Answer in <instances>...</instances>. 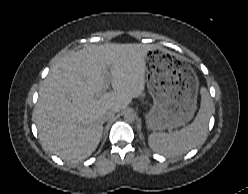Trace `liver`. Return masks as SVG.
I'll list each match as a JSON object with an SVG mask.
<instances>
[{
    "label": "liver",
    "instance_id": "1",
    "mask_svg": "<svg viewBox=\"0 0 248 194\" xmlns=\"http://www.w3.org/2000/svg\"><path fill=\"white\" fill-rule=\"evenodd\" d=\"M149 44L87 46L64 56L43 81L34 119L47 150L70 162L89 157L97 148L104 115L126 108L145 88ZM109 82L113 91L98 95Z\"/></svg>",
    "mask_w": 248,
    "mask_h": 194
}]
</instances>
